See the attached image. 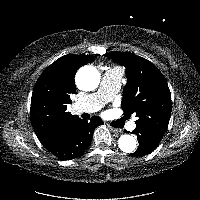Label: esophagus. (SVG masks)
I'll return each mask as SVG.
<instances>
[{"label": "esophagus", "instance_id": "34e87169", "mask_svg": "<svg viewBox=\"0 0 200 200\" xmlns=\"http://www.w3.org/2000/svg\"><path fill=\"white\" fill-rule=\"evenodd\" d=\"M109 129L115 134L121 133V131L119 129H117V128L109 126Z\"/></svg>", "mask_w": 200, "mask_h": 200}]
</instances>
